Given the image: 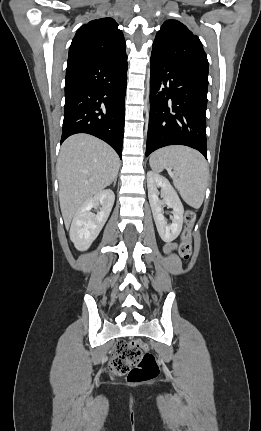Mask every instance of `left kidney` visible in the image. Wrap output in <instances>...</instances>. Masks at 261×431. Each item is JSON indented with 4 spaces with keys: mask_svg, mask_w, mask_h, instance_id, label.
Wrapping results in <instances>:
<instances>
[{
    "mask_svg": "<svg viewBox=\"0 0 261 431\" xmlns=\"http://www.w3.org/2000/svg\"><path fill=\"white\" fill-rule=\"evenodd\" d=\"M147 187L149 203L158 233L164 242H171L179 236L182 230L184 214L182 202L169 181L154 171L147 173ZM158 187L162 190V200L158 197ZM164 205L173 208L172 223L170 224L167 223L162 214Z\"/></svg>",
    "mask_w": 261,
    "mask_h": 431,
    "instance_id": "left-kidney-1",
    "label": "left kidney"
}]
</instances>
